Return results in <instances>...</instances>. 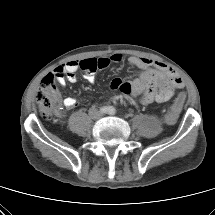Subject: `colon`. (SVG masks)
Instances as JSON below:
<instances>
[{
  "instance_id": "colon-1",
  "label": "colon",
  "mask_w": 215,
  "mask_h": 215,
  "mask_svg": "<svg viewBox=\"0 0 215 215\" xmlns=\"http://www.w3.org/2000/svg\"><path fill=\"white\" fill-rule=\"evenodd\" d=\"M54 81V76L48 74L44 78L42 87L36 96L40 112L45 119H51L53 111L56 109L59 102V93L55 87ZM183 100V96H180L176 100L172 111L166 114L165 122L167 124H173L175 122Z\"/></svg>"
}]
</instances>
